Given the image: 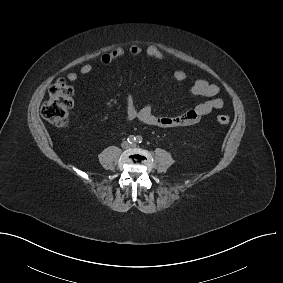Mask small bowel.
I'll return each mask as SVG.
<instances>
[{"label":"small bowel","mask_w":283,"mask_h":283,"mask_svg":"<svg viewBox=\"0 0 283 283\" xmlns=\"http://www.w3.org/2000/svg\"><path fill=\"white\" fill-rule=\"evenodd\" d=\"M143 53H145L148 57L159 61H165L167 59L166 54L155 45H150L146 48H143L138 44H133L128 49L118 47L110 52L102 54V56L100 57V62L103 65H109L117 60L122 59L126 56V54H129L131 56H139ZM92 70L93 66L91 64H84L80 68V73L87 75L90 74ZM187 77L188 75L184 70H176L171 75L167 76L165 80L183 82L187 79ZM77 79V73L70 72L67 74L68 81L74 82ZM190 92L194 96L204 97L206 98V100L202 103H199L194 108L177 116L157 115L154 112L152 105H144L141 108H137L133 95L127 94V117L130 120L138 119L150 126L160 128H175L194 125L198 123L202 117L210 114L214 110L223 107V100L218 96L219 88L215 84H212L203 79H199L192 84Z\"/></svg>","instance_id":"1"}]
</instances>
